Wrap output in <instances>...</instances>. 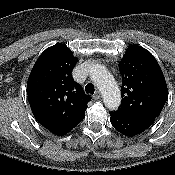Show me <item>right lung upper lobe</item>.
Wrapping results in <instances>:
<instances>
[{
  "mask_svg": "<svg viewBox=\"0 0 175 175\" xmlns=\"http://www.w3.org/2000/svg\"><path fill=\"white\" fill-rule=\"evenodd\" d=\"M77 61L65 45H54L39 56L28 78L32 113L52 133L77 126L91 100L71 76Z\"/></svg>",
  "mask_w": 175,
  "mask_h": 175,
  "instance_id": "cb5924a9",
  "label": "right lung upper lobe"
}]
</instances>
